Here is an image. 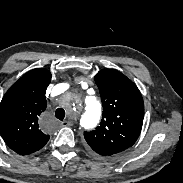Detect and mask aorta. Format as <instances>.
Listing matches in <instances>:
<instances>
[{
  "mask_svg": "<svg viewBox=\"0 0 183 183\" xmlns=\"http://www.w3.org/2000/svg\"><path fill=\"white\" fill-rule=\"evenodd\" d=\"M101 117V104L94 96L85 98V108L81 114L80 124L84 128H93L97 125Z\"/></svg>",
  "mask_w": 183,
  "mask_h": 183,
  "instance_id": "obj_1",
  "label": "aorta"
}]
</instances>
